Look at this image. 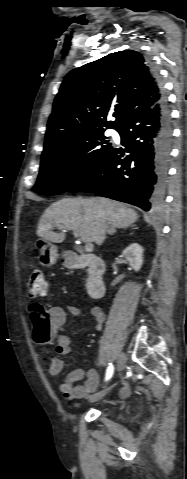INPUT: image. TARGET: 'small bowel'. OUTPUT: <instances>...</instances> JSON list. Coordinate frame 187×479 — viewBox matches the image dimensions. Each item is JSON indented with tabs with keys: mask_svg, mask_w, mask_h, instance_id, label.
Here are the masks:
<instances>
[{
	"mask_svg": "<svg viewBox=\"0 0 187 479\" xmlns=\"http://www.w3.org/2000/svg\"><path fill=\"white\" fill-rule=\"evenodd\" d=\"M34 305L30 306V312H33ZM66 311L72 315L79 316L81 314L80 308L72 305L65 307L55 306L49 309L50 323L48 326H37L38 334L43 337L48 334H53L56 340L55 352L57 356L51 357L48 366V372L52 376H58L63 368L64 362L59 356L68 355L71 352L70 337L67 334L60 333L61 327L65 323ZM33 315V314H32ZM90 316L92 317L94 328L100 330L104 322V313L102 309L96 305L90 308ZM86 378L84 385H75V382ZM100 378L96 370L79 368L71 372L65 380L60 384L59 389L63 397L67 400L80 399L88 396L99 385ZM130 389L126 382L120 390V394L125 396Z\"/></svg>",
	"mask_w": 187,
	"mask_h": 479,
	"instance_id": "c3829d8e",
	"label": "small bowel"
}]
</instances>
